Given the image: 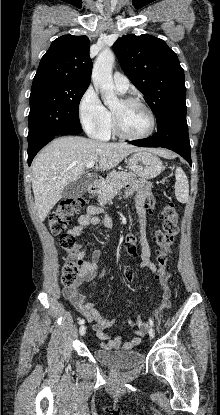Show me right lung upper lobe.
Here are the masks:
<instances>
[{
  "instance_id": "1",
  "label": "right lung upper lobe",
  "mask_w": 220,
  "mask_h": 415,
  "mask_svg": "<svg viewBox=\"0 0 220 415\" xmlns=\"http://www.w3.org/2000/svg\"><path fill=\"white\" fill-rule=\"evenodd\" d=\"M86 36L63 35L55 39L42 57L33 82L61 81L89 86L92 61Z\"/></svg>"
}]
</instances>
